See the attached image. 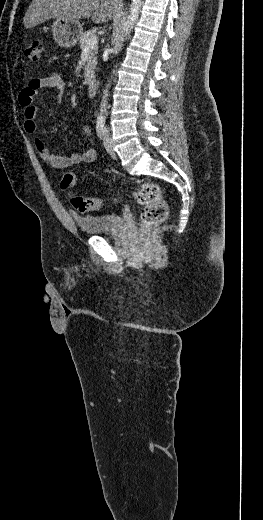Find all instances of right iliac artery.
Instances as JSON below:
<instances>
[{
	"label": "right iliac artery",
	"mask_w": 263,
	"mask_h": 520,
	"mask_svg": "<svg viewBox=\"0 0 263 520\" xmlns=\"http://www.w3.org/2000/svg\"><path fill=\"white\" fill-rule=\"evenodd\" d=\"M96 131H97L98 137L100 139H102L103 136H104V132H105V126H104V122L103 121H97Z\"/></svg>",
	"instance_id": "1"
}]
</instances>
